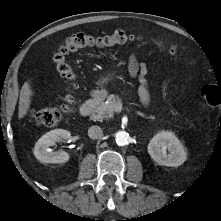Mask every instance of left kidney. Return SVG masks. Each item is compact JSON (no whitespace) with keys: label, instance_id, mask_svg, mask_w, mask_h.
<instances>
[{"label":"left kidney","instance_id":"5707ae66","mask_svg":"<svg viewBox=\"0 0 221 221\" xmlns=\"http://www.w3.org/2000/svg\"><path fill=\"white\" fill-rule=\"evenodd\" d=\"M147 149L151 158L163 166H180L187 158L186 149L171 131L157 133L150 140Z\"/></svg>","mask_w":221,"mask_h":221}]
</instances>
